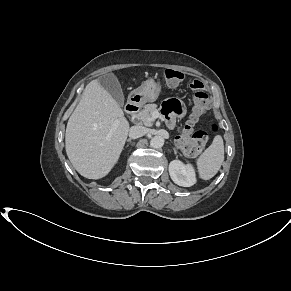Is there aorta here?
I'll list each match as a JSON object with an SVG mask.
<instances>
[{"instance_id":"aorta-1","label":"aorta","mask_w":291,"mask_h":291,"mask_svg":"<svg viewBox=\"0 0 291 291\" xmlns=\"http://www.w3.org/2000/svg\"><path fill=\"white\" fill-rule=\"evenodd\" d=\"M164 145V138L161 136H154L151 140H150V146L153 148H161Z\"/></svg>"}]
</instances>
